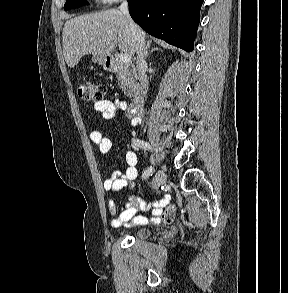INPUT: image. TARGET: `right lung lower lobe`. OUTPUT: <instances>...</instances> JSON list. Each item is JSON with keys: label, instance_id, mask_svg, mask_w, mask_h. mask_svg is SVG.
I'll return each mask as SVG.
<instances>
[{"label": "right lung lower lobe", "instance_id": "98d812e1", "mask_svg": "<svg viewBox=\"0 0 288 293\" xmlns=\"http://www.w3.org/2000/svg\"><path fill=\"white\" fill-rule=\"evenodd\" d=\"M204 0H128L132 19L146 32L193 51Z\"/></svg>", "mask_w": 288, "mask_h": 293}]
</instances>
